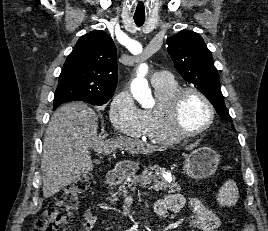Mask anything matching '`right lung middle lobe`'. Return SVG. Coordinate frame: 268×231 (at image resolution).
Segmentation results:
<instances>
[{
    "label": "right lung middle lobe",
    "instance_id": "dd1d6c3e",
    "mask_svg": "<svg viewBox=\"0 0 268 231\" xmlns=\"http://www.w3.org/2000/svg\"><path fill=\"white\" fill-rule=\"evenodd\" d=\"M110 99L111 98L94 99V100H87V101H84V102H87V103H90V104H93V105H103V104L107 103ZM60 100H61V97H59V96L54 97V109L57 108L60 104H62V103H59V104L56 103V101H60Z\"/></svg>",
    "mask_w": 268,
    "mask_h": 231
}]
</instances>
